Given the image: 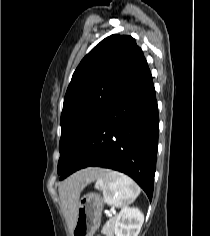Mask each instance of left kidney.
Here are the masks:
<instances>
[{
  "mask_svg": "<svg viewBox=\"0 0 210 236\" xmlns=\"http://www.w3.org/2000/svg\"><path fill=\"white\" fill-rule=\"evenodd\" d=\"M144 215L138 208H123L116 216L114 233L116 236H138Z\"/></svg>",
  "mask_w": 210,
  "mask_h": 236,
  "instance_id": "1",
  "label": "left kidney"
}]
</instances>
